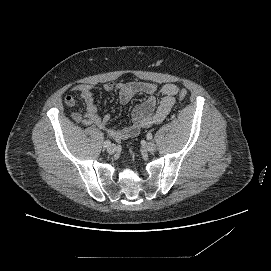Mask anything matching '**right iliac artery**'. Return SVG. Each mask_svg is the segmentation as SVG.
Instances as JSON below:
<instances>
[{
  "mask_svg": "<svg viewBox=\"0 0 271 271\" xmlns=\"http://www.w3.org/2000/svg\"><path fill=\"white\" fill-rule=\"evenodd\" d=\"M110 144H111L110 140H106V141L103 143V146H104L105 148H107V147L110 146Z\"/></svg>",
  "mask_w": 271,
  "mask_h": 271,
  "instance_id": "obj_1",
  "label": "right iliac artery"
}]
</instances>
